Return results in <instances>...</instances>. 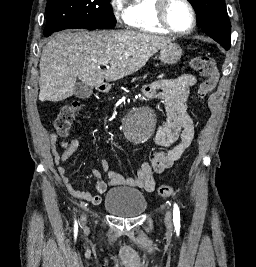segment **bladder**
Listing matches in <instances>:
<instances>
[{"mask_svg":"<svg viewBox=\"0 0 256 267\" xmlns=\"http://www.w3.org/2000/svg\"><path fill=\"white\" fill-rule=\"evenodd\" d=\"M103 206L118 217L140 215L146 209L142 193L135 189H112L106 194Z\"/></svg>","mask_w":256,"mask_h":267,"instance_id":"obj_1","label":"bladder"}]
</instances>
